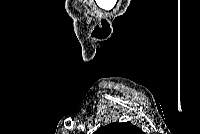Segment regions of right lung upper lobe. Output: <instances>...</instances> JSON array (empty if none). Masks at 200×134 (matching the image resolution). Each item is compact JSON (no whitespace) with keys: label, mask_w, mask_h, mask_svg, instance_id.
<instances>
[{"label":"right lung upper lobe","mask_w":200,"mask_h":134,"mask_svg":"<svg viewBox=\"0 0 200 134\" xmlns=\"http://www.w3.org/2000/svg\"><path fill=\"white\" fill-rule=\"evenodd\" d=\"M96 134H142V130L130 123H111L98 129Z\"/></svg>","instance_id":"obj_1"}]
</instances>
